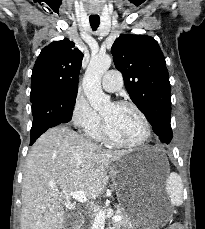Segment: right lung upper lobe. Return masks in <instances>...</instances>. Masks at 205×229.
<instances>
[{"label": "right lung upper lobe", "instance_id": "cb5924a9", "mask_svg": "<svg viewBox=\"0 0 205 229\" xmlns=\"http://www.w3.org/2000/svg\"><path fill=\"white\" fill-rule=\"evenodd\" d=\"M83 53L65 38L41 50L31 79V101L42 96L78 89V76Z\"/></svg>", "mask_w": 205, "mask_h": 229}]
</instances>
